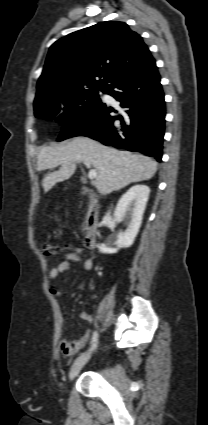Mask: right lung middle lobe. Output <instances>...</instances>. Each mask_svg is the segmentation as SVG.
<instances>
[{
    "mask_svg": "<svg viewBox=\"0 0 208 425\" xmlns=\"http://www.w3.org/2000/svg\"><path fill=\"white\" fill-rule=\"evenodd\" d=\"M99 91L105 93L106 88L82 89L42 98L34 102L35 116L55 118L56 121L65 123L81 113L98 107L102 103Z\"/></svg>",
    "mask_w": 208,
    "mask_h": 425,
    "instance_id": "dd1d6c3e",
    "label": "right lung middle lobe"
}]
</instances>
